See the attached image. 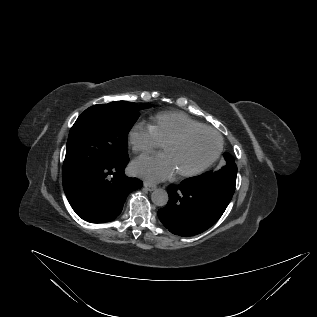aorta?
<instances>
[{
	"label": "aorta",
	"instance_id": "1",
	"mask_svg": "<svg viewBox=\"0 0 317 317\" xmlns=\"http://www.w3.org/2000/svg\"><path fill=\"white\" fill-rule=\"evenodd\" d=\"M152 202L157 206H165L168 203L169 196L166 190L155 189L151 195Z\"/></svg>",
	"mask_w": 317,
	"mask_h": 317
}]
</instances>
